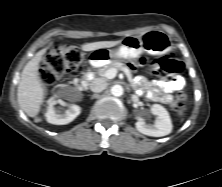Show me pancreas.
<instances>
[{
	"label": "pancreas",
	"mask_w": 222,
	"mask_h": 187,
	"mask_svg": "<svg viewBox=\"0 0 222 187\" xmlns=\"http://www.w3.org/2000/svg\"><path fill=\"white\" fill-rule=\"evenodd\" d=\"M111 68L122 70L124 68V64L120 62H110L109 64L103 66L102 68H99L97 73L99 76L106 78V72Z\"/></svg>",
	"instance_id": "obj_1"
}]
</instances>
